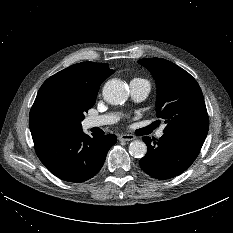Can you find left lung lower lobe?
Instances as JSON below:
<instances>
[{"instance_id": "1", "label": "left lung lower lobe", "mask_w": 233, "mask_h": 233, "mask_svg": "<svg viewBox=\"0 0 233 233\" xmlns=\"http://www.w3.org/2000/svg\"><path fill=\"white\" fill-rule=\"evenodd\" d=\"M207 135L194 132L164 133L159 140L143 137L147 154L140 167L156 179H169L184 172L196 159Z\"/></svg>"}]
</instances>
